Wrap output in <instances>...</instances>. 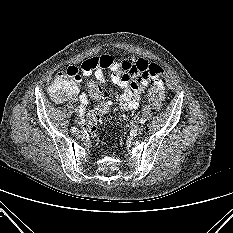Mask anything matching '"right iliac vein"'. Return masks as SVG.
Returning <instances> with one entry per match:
<instances>
[{"label": "right iliac vein", "mask_w": 233, "mask_h": 233, "mask_svg": "<svg viewBox=\"0 0 233 233\" xmlns=\"http://www.w3.org/2000/svg\"><path fill=\"white\" fill-rule=\"evenodd\" d=\"M76 136H77V137H81V136H82V133H81L80 131H77Z\"/></svg>", "instance_id": "right-iliac-vein-1"}]
</instances>
